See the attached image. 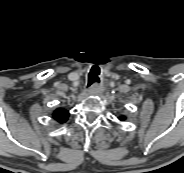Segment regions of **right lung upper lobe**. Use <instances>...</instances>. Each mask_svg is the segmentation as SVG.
Segmentation results:
<instances>
[{
	"label": "right lung upper lobe",
	"mask_w": 184,
	"mask_h": 173,
	"mask_svg": "<svg viewBox=\"0 0 184 173\" xmlns=\"http://www.w3.org/2000/svg\"><path fill=\"white\" fill-rule=\"evenodd\" d=\"M53 117L56 121H58L59 123H64L67 121L68 117H69V113L67 110L63 109V108H58L54 111L53 113Z\"/></svg>",
	"instance_id": "obj_1"
}]
</instances>
